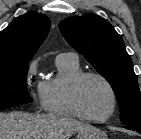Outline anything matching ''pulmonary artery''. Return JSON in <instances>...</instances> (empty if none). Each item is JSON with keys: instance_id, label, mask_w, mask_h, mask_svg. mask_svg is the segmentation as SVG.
Returning <instances> with one entry per match:
<instances>
[{"instance_id": "pulmonary-artery-1", "label": "pulmonary artery", "mask_w": 141, "mask_h": 139, "mask_svg": "<svg viewBox=\"0 0 141 139\" xmlns=\"http://www.w3.org/2000/svg\"><path fill=\"white\" fill-rule=\"evenodd\" d=\"M61 59H77V56L74 53H61L56 57V60Z\"/></svg>"}]
</instances>
